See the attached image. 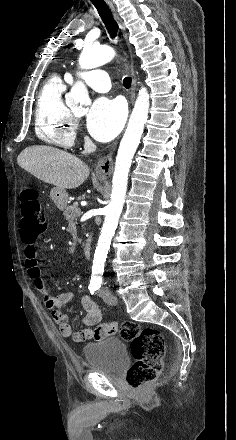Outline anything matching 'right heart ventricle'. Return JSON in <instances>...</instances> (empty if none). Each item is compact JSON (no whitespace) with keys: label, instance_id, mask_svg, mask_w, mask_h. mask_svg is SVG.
Wrapping results in <instances>:
<instances>
[{"label":"right heart ventricle","instance_id":"right-heart-ventricle-1","mask_svg":"<svg viewBox=\"0 0 236 440\" xmlns=\"http://www.w3.org/2000/svg\"><path fill=\"white\" fill-rule=\"evenodd\" d=\"M66 80L50 76L44 83L36 104L35 131L44 142L59 148H69L75 141V120L63 100ZM69 82V81H68Z\"/></svg>","mask_w":236,"mask_h":440}]
</instances>
